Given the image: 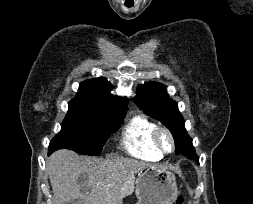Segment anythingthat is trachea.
<instances>
[{"label":"trachea","instance_id":"3493384b","mask_svg":"<svg viewBox=\"0 0 253 204\" xmlns=\"http://www.w3.org/2000/svg\"><path fill=\"white\" fill-rule=\"evenodd\" d=\"M128 8L132 7L133 5H126Z\"/></svg>","mask_w":253,"mask_h":204}]
</instances>
